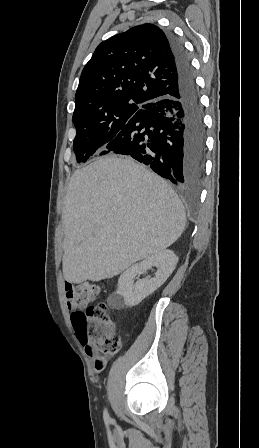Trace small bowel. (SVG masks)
<instances>
[{"label": "small bowel", "instance_id": "obj_1", "mask_svg": "<svg viewBox=\"0 0 259 448\" xmlns=\"http://www.w3.org/2000/svg\"><path fill=\"white\" fill-rule=\"evenodd\" d=\"M65 295L68 308L72 311V315L79 312L76 303L73 298V286L71 283H65ZM85 353L89 358L93 360L94 370L98 373L103 371L108 363V358L101 355L100 351L92 344L84 346Z\"/></svg>", "mask_w": 259, "mask_h": 448}]
</instances>
